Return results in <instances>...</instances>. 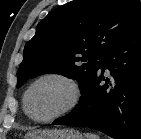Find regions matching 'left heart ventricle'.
Returning a JSON list of instances; mask_svg holds the SVG:
<instances>
[{
	"label": "left heart ventricle",
	"instance_id": "1",
	"mask_svg": "<svg viewBox=\"0 0 141 139\" xmlns=\"http://www.w3.org/2000/svg\"><path fill=\"white\" fill-rule=\"evenodd\" d=\"M71 98L69 86L57 79L38 83L29 96V111L37 118L50 117L63 109Z\"/></svg>",
	"mask_w": 141,
	"mask_h": 139
}]
</instances>
